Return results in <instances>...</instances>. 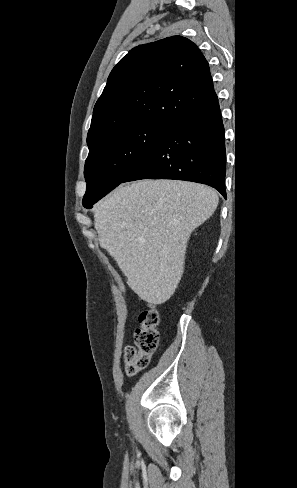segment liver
Wrapping results in <instances>:
<instances>
[{"label": "liver", "mask_w": 297, "mask_h": 488, "mask_svg": "<svg viewBox=\"0 0 297 488\" xmlns=\"http://www.w3.org/2000/svg\"><path fill=\"white\" fill-rule=\"evenodd\" d=\"M212 188L184 181L142 180L115 189L97 204L94 226L128 286L162 304L184 272L191 233L216 210Z\"/></svg>", "instance_id": "obj_1"}]
</instances>
